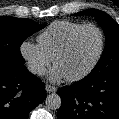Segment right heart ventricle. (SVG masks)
Listing matches in <instances>:
<instances>
[{
    "mask_svg": "<svg viewBox=\"0 0 119 119\" xmlns=\"http://www.w3.org/2000/svg\"><path fill=\"white\" fill-rule=\"evenodd\" d=\"M83 25L68 20L55 21L38 36V44L53 59L69 36Z\"/></svg>",
    "mask_w": 119,
    "mask_h": 119,
    "instance_id": "e07e8e85",
    "label": "right heart ventricle"
}]
</instances>
